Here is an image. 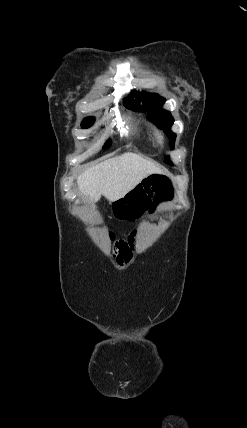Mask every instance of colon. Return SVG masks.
<instances>
[{
    "instance_id": "5ec220e1",
    "label": "colon",
    "mask_w": 247,
    "mask_h": 428,
    "mask_svg": "<svg viewBox=\"0 0 247 428\" xmlns=\"http://www.w3.org/2000/svg\"><path fill=\"white\" fill-rule=\"evenodd\" d=\"M172 197V185L170 180L161 175H152L144 179L126 197L119 195L118 199H111L109 211H113V220L108 221L109 229H130L135 221L146 217V213H156L157 203L170 200ZM109 237H114V232H109ZM125 241L116 243L119 253L126 252L129 247Z\"/></svg>"
}]
</instances>
